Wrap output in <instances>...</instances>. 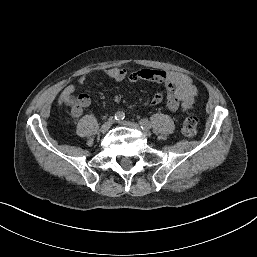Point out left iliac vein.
<instances>
[{
	"mask_svg": "<svg viewBox=\"0 0 257 257\" xmlns=\"http://www.w3.org/2000/svg\"><path fill=\"white\" fill-rule=\"evenodd\" d=\"M120 124H123V125H126L128 127H132V128H135V129H138L140 131H142V133L146 136H150L151 135V132L149 131V129L145 128V129H142L141 126L137 123H134V122H130V121H119Z\"/></svg>",
	"mask_w": 257,
	"mask_h": 257,
	"instance_id": "1",
	"label": "left iliac vein"
}]
</instances>
